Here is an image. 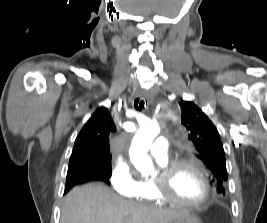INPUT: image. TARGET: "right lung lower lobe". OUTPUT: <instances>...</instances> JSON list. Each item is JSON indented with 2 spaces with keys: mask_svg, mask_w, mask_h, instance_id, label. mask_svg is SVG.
Wrapping results in <instances>:
<instances>
[{
  "mask_svg": "<svg viewBox=\"0 0 267 223\" xmlns=\"http://www.w3.org/2000/svg\"><path fill=\"white\" fill-rule=\"evenodd\" d=\"M89 180H99V181H107V178L97 172H91V171H79L75 172L71 175H67V181H66V187H65V193L72 188L74 185L86 182Z\"/></svg>",
  "mask_w": 267,
  "mask_h": 223,
  "instance_id": "1",
  "label": "right lung lower lobe"
}]
</instances>
